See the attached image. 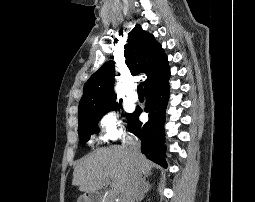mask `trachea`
Listing matches in <instances>:
<instances>
[{"instance_id": "trachea-1", "label": "trachea", "mask_w": 255, "mask_h": 202, "mask_svg": "<svg viewBox=\"0 0 255 202\" xmlns=\"http://www.w3.org/2000/svg\"><path fill=\"white\" fill-rule=\"evenodd\" d=\"M137 92L139 95H143V83H140L137 87Z\"/></svg>"}]
</instances>
